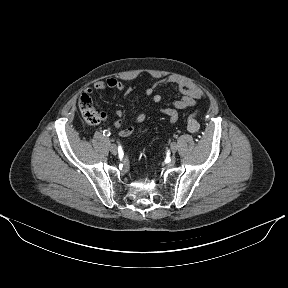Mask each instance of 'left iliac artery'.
Instances as JSON below:
<instances>
[{
  "instance_id": "1",
  "label": "left iliac artery",
  "mask_w": 288,
  "mask_h": 288,
  "mask_svg": "<svg viewBox=\"0 0 288 288\" xmlns=\"http://www.w3.org/2000/svg\"><path fill=\"white\" fill-rule=\"evenodd\" d=\"M177 140H178V137L176 135H173L171 138L168 139V144L174 145Z\"/></svg>"
}]
</instances>
